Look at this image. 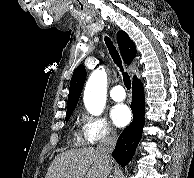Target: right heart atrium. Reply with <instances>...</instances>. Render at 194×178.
Listing matches in <instances>:
<instances>
[{"label": "right heart atrium", "mask_w": 194, "mask_h": 178, "mask_svg": "<svg viewBox=\"0 0 194 178\" xmlns=\"http://www.w3.org/2000/svg\"><path fill=\"white\" fill-rule=\"evenodd\" d=\"M79 119L80 129L76 135V142L79 145L93 146L100 142L116 139L114 129L104 118L81 112Z\"/></svg>", "instance_id": "d8ad5b80"}]
</instances>
